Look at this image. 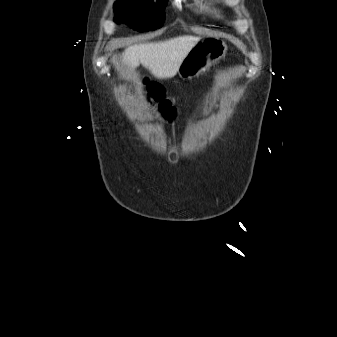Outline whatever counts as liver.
I'll list each match as a JSON object with an SVG mask.
<instances>
[{
	"label": "liver",
	"mask_w": 337,
	"mask_h": 337,
	"mask_svg": "<svg viewBox=\"0 0 337 337\" xmlns=\"http://www.w3.org/2000/svg\"><path fill=\"white\" fill-rule=\"evenodd\" d=\"M199 40L200 37L186 35L134 44L125 49L123 59L132 70L141 63L154 77L169 79L178 73L182 61Z\"/></svg>",
	"instance_id": "liver-1"
}]
</instances>
